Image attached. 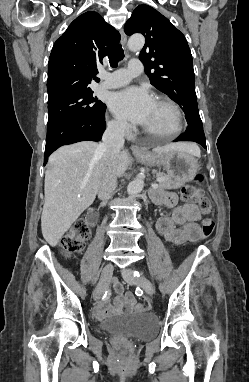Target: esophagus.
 Listing matches in <instances>:
<instances>
[{
  "instance_id": "esophagus-1",
  "label": "esophagus",
  "mask_w": 249,
  "mask_h": 382,
  "mask_svg": "<svg viewBox=\"0 0 249 382\" xmlns=\"http://www.w3.org/2000/svg\"><path fill=\"white\" fill-rule=\"evenodd\" d=\"M120 33H121V43L124 47H126V44H127L126 34L124 33L123 30H121ZM130 148L134 154H144L145 153V150L136 144H132Z\"/></svg>"
}]
</instances>
